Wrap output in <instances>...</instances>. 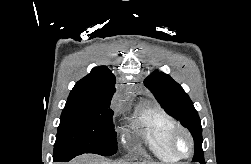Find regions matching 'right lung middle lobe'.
<instances>
[{"label": "right lung middle lobe", "instance_id": "obj_1", "mask_svg": "<svg viewBox=\"0 0 251 164\" xmlns=\"http://www.w3.org/2000/svg\"><path fill=\"white\" fill-rule=\"evenodd\" d=\"M110 104L68 99L63 109L53 156L95 153L113 155L116 133Z\"/></svg>", "mask_w": 251, "mask_h": 164}]
</instances>
